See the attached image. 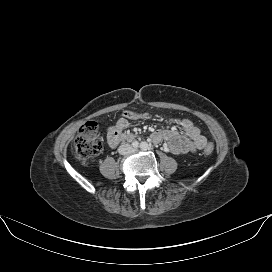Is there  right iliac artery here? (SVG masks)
<instances>
[{
    "instance_id": "82829eb1",
    "label": "right iliac artery",
    "mask_w": 272,
    "mask_h": 272,
    "mask_svg": "<svg viewBox=\"0 0 272 272\" xmlns=\"http://www.w3.org/2000/svg\"><path fill=\"white\" fill-rule=\"evenodd\" d=\"M132 145L133 147L137 148L139 146V143L137 141H134Z\"/></svg>"
}]
</instances>
